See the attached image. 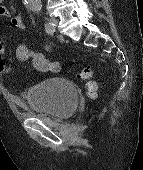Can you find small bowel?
<instances>
[{
	"label": "small bowel",
	"mask_w": 143,
	"mask_h": 170,
	"mask_svg": "<svg viewBox=\"0 0 143 170\" xmlns=\"http://www.w3.org/2000/svg\"><path fill=\"white\" fill-rule=\"evenodd\" d=\"M0 16L11 17V23L15 28L25 30L26 26L22 17L20 15L12 16L11 10L2 4V0H0ZM5 51V43L0 40V73L10 72L9 66L3 60ZM16 57L20 61L31 60L33 68L39 72L54 71L57 66V63L50 61L43 53L30 49L25 44H20L16 48Z\"/></svg>",
	"instance_id": "1"
}]
</instances>
